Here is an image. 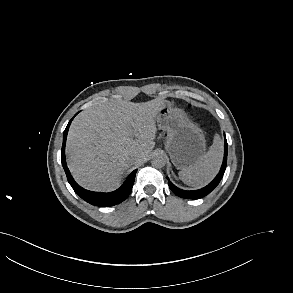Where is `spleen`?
I'll list each match as a JSON object with an SVG mask.
<instances>
[{"instance_id":"3e777b00","label":"spleen","mask_w":293,"mask_h":293,"mask_svg":"<svg viewBox=\"0 0 293 293\" xmlns=\"http://www.w3.org/2000/svg\"><path fill=\"white\" fill-rule=\"evenodd\" d=\"M223 157V142L218 134L207 153L193 166L179 172V178L192 187L209 183L219 171Z\"/></svg>"}]
</instances>
